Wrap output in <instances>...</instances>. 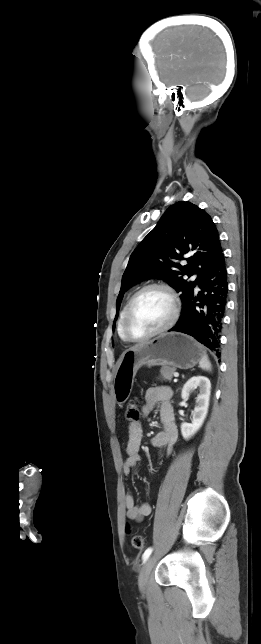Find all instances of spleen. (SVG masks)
<instances>
[{"mask_svg": "<svg viewBox=\"0 0 261 644\" xmlns=\"http://www.w3.org/2000/svg\"><path fill=\"white\" fill-rule=\"evenodd\" d=\"M199 366L203 370L211 371V363H210V361L208 359V356L206 354L200 360Z\"/></svg>", "mask_w": 261, "mask_h": 644, "instance_id": "3e777b00", "label": "spleen"}]
</instances>
